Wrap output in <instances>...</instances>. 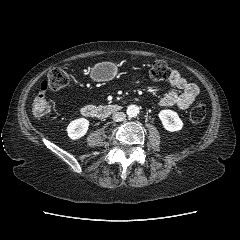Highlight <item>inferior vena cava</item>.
<instances>
[{
  "label": "inferior vena cava",
  "mask_w": 240,
  "mask_h": 240,
  "mask_svg": "<svg viewBox=\"0 0 240 240\" xmlns=\"http://www.w3.org/2000/svg\"><path fill=\"white\" fill-rule=\"evenodd\" d=\"M126 118V115L123 112H116L112 115V119L116 122H121Z\"/></svg>",
  "instance_id": "602c4592"
}]
</instances>
